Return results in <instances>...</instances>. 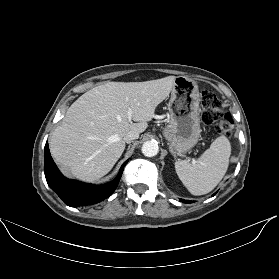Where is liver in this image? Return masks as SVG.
Returning a JSON list of instances; mask_svg holds the SVG:
<instances>
[{
	"mask_svg": "<svg viewBox=\"0 0 279 279\" xmlns=\"http://www.w3.org/2000/svg\"><path fill=\"white\" fill-rule=\"evenodd\" d=\"M175 79L168 76L146 82H108L87 91L69 107L53 131L49 142L52 157L78 179H100L122 155L125 135L146 130Z\"/></svg>",
	"mask_w": 279,
	"mask_h": 279,
	"instance_id": "1",
	"label": "liver"
}]
</instances>
